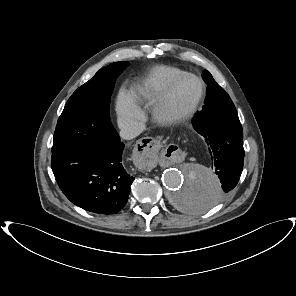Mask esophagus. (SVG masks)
Here are the masks:
<instances>
[{"mask_svg":"<svg viewBox=\"0 0 296 296\" xmlns=\"http://www.w3.org/2000/svg\"><path fill=\"white\" fill-rule=\"evenodd\" d=\"M160 140L144 138L137 145L134 153L133 165L139 171L151 169L160 158L162 148Z\"/></svg>","mask_w":296,"mask_h":296,"instance_id":"34e87169","label":"esophagus"}]
</instances>
